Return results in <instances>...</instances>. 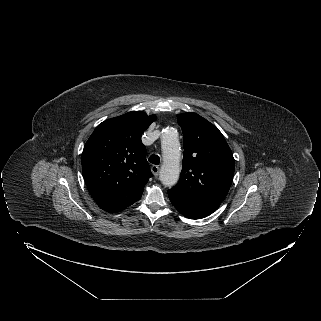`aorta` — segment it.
Segmentation results:
<instances>
[{
  "label": "aorta",
  "mask_w": 321,
  "mask_h": 321,
  "mask_svg": "<svg viewBox=\"0 0 321 321\" xmlns=\"http://www.w3.org/2000/svg\"><path fill=\"white\" fill-rule=\"evenodd\" d=\"M163 163L160 170V181L163 185L174 186L180 176L181 148L178 132L173 127H167L161 134Z\"/></svg>",
  "instance_id": "aorta-1"
}]
</instances>
